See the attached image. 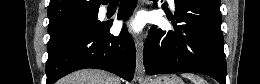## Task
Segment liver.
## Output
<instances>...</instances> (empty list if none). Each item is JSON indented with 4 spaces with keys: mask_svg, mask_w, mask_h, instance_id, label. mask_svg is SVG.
<instances>
[{
    "mask_svg": "<svg viewBox=\"0 0 260 84\" xmlns=\"http://www.w3.org/2000/svg\"><path fill=\"white\" fill-rule=\"evenodd\" d=\"M59 84H120V79L98 69H84L61 79Z\"/></svg>",
    "mask_w": 260,
    "mask_h": 84,
    "instance_id": "obj_1",
    "label": "liver"
}]
</instances>
